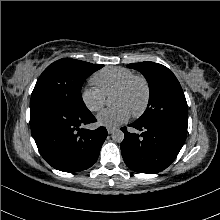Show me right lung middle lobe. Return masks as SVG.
Returning a JSON list of instances; mask_svg holds the SVG:
<instances>
[{
    "instance_id": "right-lung-middle-lobe-1",
    "label": "right lung middle lobe",
    "mask_w": 220,
    "mask_h": 220,
    "mask_svg": "<svg viewBox=\"0 0 220 220\" xmlns=\"http://www.w3.org/2000/svg\"><path fill=\"white\" fill-rule=\"evenodd\" d=\"M104 65L71 58L60 59L49 65L40 75L31 95V102L48 100L75 110H87L81 87L84 81Z\"/></svg>"
}]
</instances>
